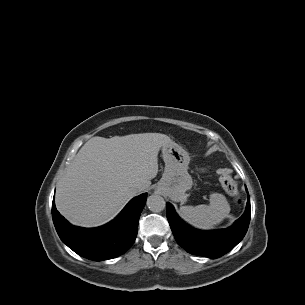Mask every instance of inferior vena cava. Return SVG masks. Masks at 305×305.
<instances>
[{
	"label": "inferior vena cava",
	"mask_w": 305,
	"mask_h": 305,
	"mask_svg": "<svg viewBox=\"0 0 305 305\" xmlns=\"http://www.w3.org/2000/svg\"><path fill=\"white\" fill-rule=\"evenodd\" d=\"M133 187L136 188V189H139V185L138 184H134Z\"/></svg>",
	"instance_id": "inferior-vena-cava-1"
}]
</instances>
